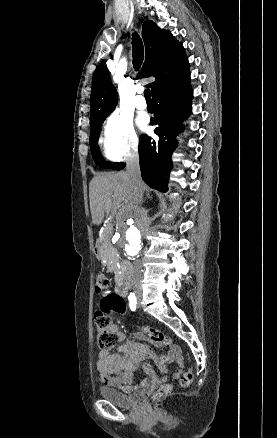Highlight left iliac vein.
I'll use <instances>...</instances> for the list:
<instances>
[{
  "label": "left iliac vein",
  "instance_id": "obj_1",
  "mask_svg": "<svg viewBox=\"0 0 277 438\" xmlns=\"http://www.w3.org/2000/svg\"><path fill=\"white\" fill-rule=\"evenodd\" d=\"M138 307H140V302L138 301V305H137Z\"/></svg>",
  "mask_w": 277,
  "mask_h": 438
}]
</instances>
